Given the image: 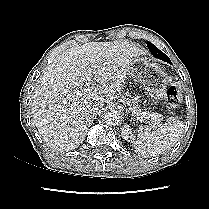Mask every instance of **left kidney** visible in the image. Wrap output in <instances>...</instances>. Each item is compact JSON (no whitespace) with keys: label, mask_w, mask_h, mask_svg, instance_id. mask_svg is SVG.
<instances>
[{"label":"left kidney","mask_w":209,"mask_h":209,"mask_svg":"<svg viewBox=\"0 0 209 209\" xmlns=\"http://www.w3.org/2000/svg\"><path fill=\"white\" fill-rule=\"evenodd\" d=\"M121 134L123 136V138L125 140H129L130 138V134H131V130L129 128V125H123L121 128Z\"/></svg>","instance_id":"1"}]
</instances>
